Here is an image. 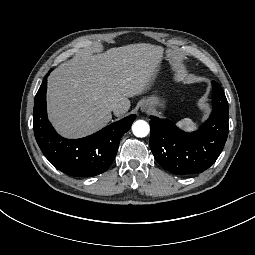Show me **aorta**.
Segmentation results:
<instances>
[{
  "mask_svg": "<svg viewBox=\"0 0 255 255\" xmlns=\"http://www.w3.org/2000/svg\"><path fill=\"white\" fill-rule=\"evenodd\" d=\"M133 134L137 137H145L150 131V127L146 121L138 120L132 126Z\"/></svg>",
  "mask_w": 255,
  "mask_h": 255,
  "instance_id": "obj_1",
  "label": "aorta"
}]
</instances>
